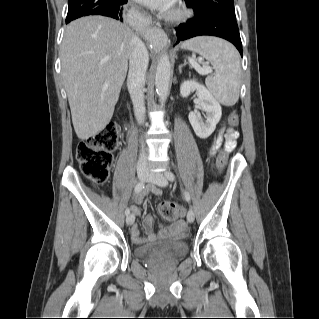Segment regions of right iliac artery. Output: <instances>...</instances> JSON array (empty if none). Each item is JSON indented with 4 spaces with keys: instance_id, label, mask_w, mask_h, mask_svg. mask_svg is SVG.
<instances>
[{
    "instance_id": "right-iliac-artery-1",
    "label": "right iliac artery",
    "mask_w": 319,
    "mask_h": 319,
    "mask_svg": "<svg viewBox=\"0 0 319 319\" xmlns=\"http://www.w3.org/2000/svg\"><path fill=\"white\" fill-rule=\"evenodd\" d=\"M144 185H145L144 182H139L135 187V190H134L135 194L140 193L144 189ZM125 213L126 215H129L130 210L127 208Z\"/></svg>"
}]
</instances>
